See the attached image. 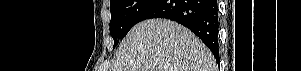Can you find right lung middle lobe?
Segmentation results:
<instances>
[{"label": "right lung middle lobe", "mask_w": 301, "mask_h": 71, "mask_svg": "<svg viewBox=\"0 0 301 71\" xmlns=\"http://www.w3.org/2000/svg\"><path fill=\"white\" fill-rule=\"evenodd\" d=\"M155 0H110V34L114 46L140 21V16Z\"/></svg>", "instance_id": "right-lung-middle-lobe-1"}]
</instances>
